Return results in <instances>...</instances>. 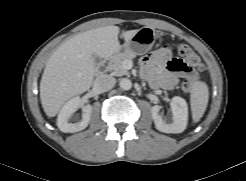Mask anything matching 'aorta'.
Here are the masks:
<instances>
[{
    "label": "aorta",
    "mask_w": 246,
    "mask_h": 181,
    "mask_svg": "<svg viewBox=\"0 0 246 181\" xmlns=\"http://www.w3.org/2000/svg\"><path fill=\"white\" fill-rule=\"evenodd\" d=\"M119 86L123 90H130L132 88V82L128 78H122L119 82Z\"/></svg>",
    "instance_id": "1"
}]
</instances>
